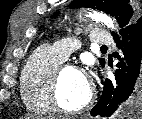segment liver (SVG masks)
<instances>
[{"instance_id":"liver-1","label":"liver","mask_w":142,"mask_h":119,"mask_svg":"<svg viewBox=\"0 0 142 119\" xmlns=\"http://www.w3.org/2000/svg\"><path fill=\"white\" fill-rule=\"evenodd\" d=\"M27 118H29V119H30V117H29V116L25 117V119H27Z\"/></svg>"}]
</instances>
